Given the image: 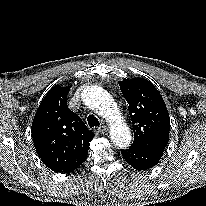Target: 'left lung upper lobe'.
<instances>
[{"label": "left lung upper lobe", "instance_id": "5c2ea615", "mask_svg": "<svg viewBox=\"0 0 206 206\" xmlns=\"http://www.w3.org/2000/svg\"><path fill=\"white\" fill-rule=\"evenodd\" d=\"M134 130L132 147L164 152L170 131L169 113L155 86L144 78L119 81Z\"/></svg>", "mask_w": 206, "mask_h": 206}]
</instances>
